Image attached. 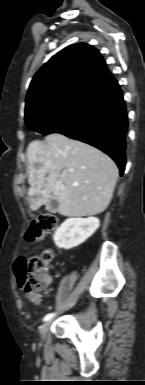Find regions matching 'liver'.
Listing matches in <instances>:
<instances>
[{"label": "liver", "instance_id": "6515ba94", "mask_svg": "<svg viewBox=\"0 0 145 385\" xmlns=\"http://www.w3.org/2000/svg\"><path fill=\"white\" fill-rule=\"evenodd\" d=\"M27 158L32 210L52 199L67 217L92 216L108 207L119 173L114 161L97 148L52 133L44 141H32Z\"/></svg>", "mask_w": 145, "mask_h": 385}]
</instances>
